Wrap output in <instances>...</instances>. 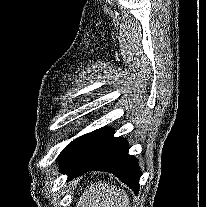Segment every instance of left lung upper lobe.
Instances as JSON below:
<instances>
[{"instance_id": "obj_1", "label": "left lung upper lobe", "mask_w": 206, "mask_h": 207, "mask_svg": "<svg viewBox=\"0 0 206 207\" xmlns=\"http://www.w3.org/2000/svg\"><path fill=\"white\" fill-rule=\"evenodd\" d=\"M88 135L89 134H85L75 139L68 146H66V148L61 152V154L58 157L59 162L64 163L70 157H72L76 153V151L82 146Z\"/></svg>"}]
</instances>
